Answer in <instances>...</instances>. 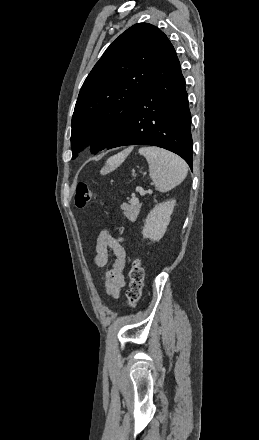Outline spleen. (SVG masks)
<instances>
[{
  "mask_svg": "<svg viewBox=\"0 0 259 440\" xmlns=\"http://www.w3.org/2000/svg\"><path fill=\"white\" fill-rule=\"evenodd\" d=\"M139 153L148 164L150 177L160 192L179 185L187 176V165L179 156L158 147H142Z\"/></svg>",
  "mask_w": 259,
  "mask_h": 440,
  "instance_id": "3e777b00",
  "label": "spleen"
}]
</instances>
